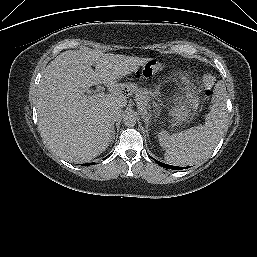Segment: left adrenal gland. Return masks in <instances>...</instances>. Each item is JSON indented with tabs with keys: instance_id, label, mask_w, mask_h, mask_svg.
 <instances>
[{
	"instance_id": "a2214340",
	"label": "left adrenal gland",
	"mask_w": 257,
	"mask_h": 257,
	"mask_svg": "<svg viewBox=\"0 0 257 257\" xmlns=\"http://www.w3.org/2000/svg\"><path fill=\"white\" fill-rule=\"evenodd\" d=\"M143 119H144V122L146 124V128H148L149 127V123H150V118L148 116H144Z\"/></svg>"
}]
</instances>
